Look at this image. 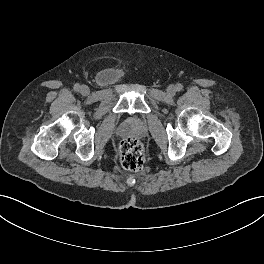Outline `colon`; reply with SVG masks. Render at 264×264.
I'll list each match as a JSON object with an SVG mask.
<instances>
[{
  "mask_svg": "<svg viewBox=\"0 0 264 264\" xmlns=\"http://www.w3.org/2000/svg\"><path fill=\"white\" fill-rule=\"evenodd\" d=\"M119 155L122 166L130 171H138L143 167L145 161L144 148L141 142L128 137L119 144Z\"/></svg>",
  "mask_w": 264,
  "mask_h": 264,
  "instance_id": "colon-1",
  "label": "colon"
}]
</instances>
